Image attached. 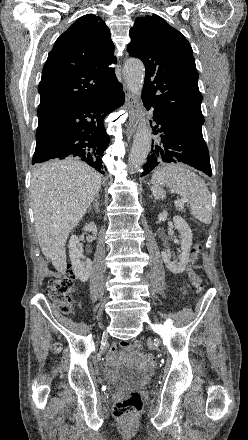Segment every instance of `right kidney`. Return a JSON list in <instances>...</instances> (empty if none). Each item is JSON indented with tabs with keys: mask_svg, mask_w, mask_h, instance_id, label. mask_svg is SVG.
<instances>
[{
	"mask_svg": "<svg viewBox=\"0 0 248 440\" xmlns=\"http://www.w3.org/2000/svg\"><path fill=\"white\" fill-rule=\"evenodd\" d=\"M84 231L92 232L93 234L97 233V227L94 222H90L84 228ZM69 257L71 259V264L73 267V271L75 276L81 281H88L91 270H92V262L90 259H87L83 256V252L80 250V242L76 235H72L69 240Z\"/></svg>",
	"mask_w": 248,
	"mask_h": 440,
	"instance_id": "right-kidney-1",
	"label": "right kidney"
}]
</instances>
